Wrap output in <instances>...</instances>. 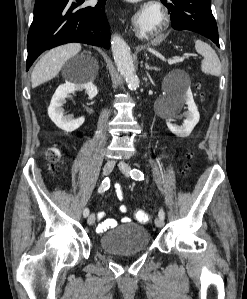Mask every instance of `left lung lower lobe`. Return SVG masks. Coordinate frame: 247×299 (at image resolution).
Returning a JSON list of instances; mask_svg holds the SVG:
<instances>
[{
	"instance_id": "0a47b994",
	"label": "left lung lower lobe",
	"mask_w": 247,
	"mask_h": 299,
	"mask_svg": "<svg viewBox=\"0 0 247 299\" xmlns=\"http://www.w3.org/2000/svg\"><path fill=\"white\" fill-rule=\"evenodd\" d=\"M170 13L171 26L190 30L212 40L218 47L219 38L211 0H161Z\"/></svg>"
}]
</instances>
